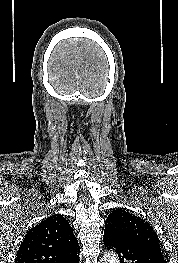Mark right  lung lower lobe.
<instances>
[{"instance_id": "right-lung-lower-lobe-1", "label": "right lung lower lobe", "mask_w": 178, "mask_h": 263, "mask_svg": "<svg viewBox=\"0 0 178 263\" xmlns=\"http://www.w3.org/2000/svg\"><path fill=\"white\" fill-rule=\"evenodd\" d=\"M70 263H79V257L76 256L75 258L72 259Z\"/></svg>"}]
</instances>
